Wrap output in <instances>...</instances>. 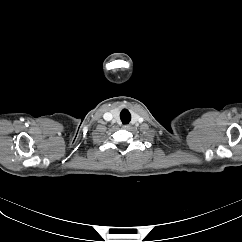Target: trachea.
Here are the masks:
<instances>
[{
    "label": "trachea",
    "mask_w": 242,
    "mask_h": 242,
    "mask_svg": "<svg viewBox=\"0 0 242 242\" xmlns=\"http://www.w3.org/2000/svg\"><path fill=\"white\" fill-rule=\"evenodd\" d=\"M120 118L123 124H128L131 120V114L127 109H123L120 113Z\"/></svg>",
    "instance_id": "trachea-1"
}]
</instances>
